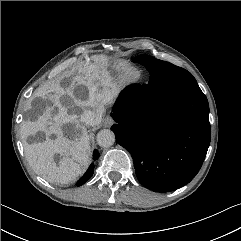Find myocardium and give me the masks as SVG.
<instances>
[{
    "label": "myocardium",
    "mask_w": 241,
    "mask_h": 241,
    "mask_svg": "<svg viewBox=\"0 0 241 241\" xmlns=\"http://www.w3.org/2000/svg\"><path fill=\"white\" fill-rule=\"evenodd\" d=\"M139 77H140V71L134 67H129L124 72V76H123L126 82L136 81Z\"/></svg>",
    "instance_id": "myocardium-1"
}]
</instances>
